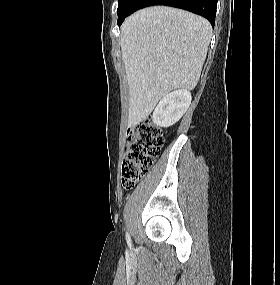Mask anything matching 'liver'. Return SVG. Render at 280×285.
<instances>
[{
  "instance_id": "liver-1",
  "label": "liver",
  "mask_w": 280,
  "mask_h": 285,
  "mask_svg": "<svg viewBox=\"0 0 280 285\" xmlns=\"http://www.w3.org/2000/svg\"><path fill=\"white\" fill-rule=\"evenodd\" d=\"M211 35L206 19L171 7H149L126 18L120 45L129 91V127L145 120L170 91L197 85Z\"/></svg>"
}]
</instances>
